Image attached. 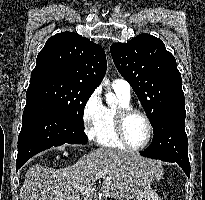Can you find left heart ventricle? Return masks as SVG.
Wrapping results in <instances>:
<instances>
[{
  "mask_svg": "<svg viewBox=\"0 0 205 200\" xmlns=\"http://www.w3.org/2000/svg\"><path fill=\"white\" fill-rule=\"evenodd\" d=\"M125 134L131 145H142L148 136V127L145 120L139 115H132L126 122Z\"/></svg>",
  "mask_w": 205,
  "mask_h": 200,
  "instance_id": "b2bd125f",
  "label": "left heart ventricle"
}]
</instances>
